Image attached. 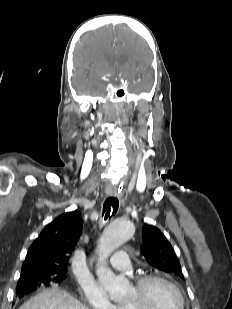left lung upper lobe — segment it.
I'll list each match as a JSON object with an SVG mask.
<instances>
[{"label":"left lung upper lobe","mask_w":232,"mask_h":309,"mask_svg":"<svg viewBox=\"0 0 232 309\" xmlns=\"http://www.w3.org/2000/svg\"><path fill=\"white\" fill-rule=\"evenodd\" d=\"M142 237L141 253L151 266L166 273L184 277L174 249L158 228L152 225H144Z\"/></svg>","instance_id":"1"}]
</instances>
